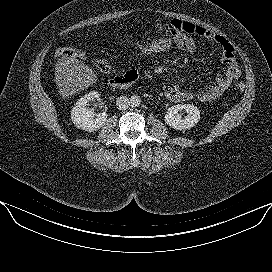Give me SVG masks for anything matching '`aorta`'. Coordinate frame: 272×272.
<instances>
[{
	"label": "aorta",
	"instance_id": "obj_1",
	"mask_svg": "<svg viewBox=\"0 0 272 272\" xmlns=\"http://www.w3.org/2000/svg\"><path fill=\"white\" fill-rule=\"evenodd\" d=\"M141 104V98L138 95H133L130 97V106L138 107Z\"/></svg>",
	"mask_w": 272,
	"mask_h": 272
}]
</instances>
